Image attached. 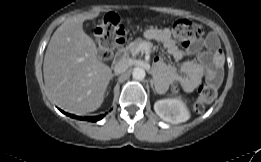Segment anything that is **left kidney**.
Listing matches in <instances>:
<instances>
[{"mask_svg":"<svg viewBox=\"0 0 261 162\" xmlns=\"http://www.w3.org/2000/svg\"><path fill=\"white\" fill-rule=\"evenodd\" d=\"M154 110L161 119L172 124L185 122L190 118V112L179 98L163 99L155 102Z\"/></svg>","mask_w":261,"mask_h":162,"instance_id":"left-kidney-1","label":"left kidney"}]
</instances>
